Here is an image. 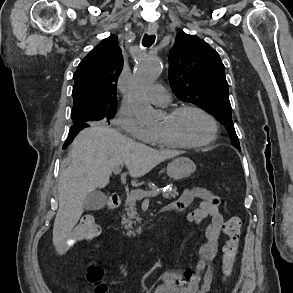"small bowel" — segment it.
<instances>
[{
    "label": "small bowel",
    "instance_id": "c3829d8e",
    "mask_svg": "<svg viewBox=\"0 0 293 293\" xmlns=\"http://www.w3.org/2000/svg\"><path fill=\"white\" fill-rule=\"evenodd\" d=\"M195 198L200 203L191 208ZM220 198L200 187L185 189L170 206L174 212L190 209L188 221L196 225L205 219L209 222L205 229V242L199 250V260L194 266L182 271H166L161 275V282L154 293H209L214 279V270L210 265L218 251V238L225 224L219 209Z\"/></svg>",
    "mask_w": 293,
    "mask_h": 293
}]
</instances>
